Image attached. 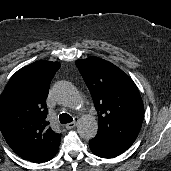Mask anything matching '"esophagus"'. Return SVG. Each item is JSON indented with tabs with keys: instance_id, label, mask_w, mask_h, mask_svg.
Instances as JSON below:
<instances>
[{
	"instance_id": "1",
	"label": "esophagus",
	"mask_w": 171,
	"mask_h": 171,
	"mask_svg": "<svg viewBox=\"0 0 171 171\" xmlns=\"http://www.w3.org/2000/svg\"><path fill=\"white\" fill-rule=\"evenodd\" d=\"M77 123H78V119L75 118V120L73 122L67 123L65 125V127H66V129H72V128H74L77 125Z\"/></svg>"
}]
</instances>
